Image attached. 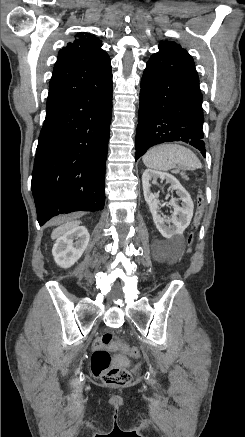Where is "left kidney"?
Here are the masks:
<instances>
[{"mask_svg":"<svg viewBox=\"0 0 245 437\" xmlns=\"http://www.w3.org/2000/svg\"><path fill=\"white\" fill-rule=\"evenodd\" d=\"M157 178L166 180L167 183H170V190H175L176 194L179 196L178 199L171 198L169 202V204L174 208V212L170 219L161 217L158 195L151 192L150 182L153 179L152 183H155ZM142 184L145 201L149 206L153 221L158 231L167 239H176L181 236L184 230L189 226L193 216L194 204L189 193L173 175L152 169H146L143 172ZM179 200L182 202V206L177 204V201Z\"/></svg>","mask_w":245,"mask_h":437,"instance_id":"obj_1","label":"left kidney"}]
</instances>
